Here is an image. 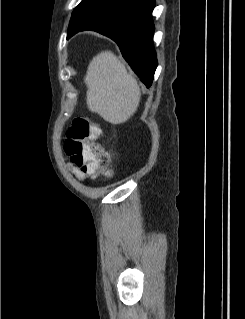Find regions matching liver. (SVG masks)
I'll return each instance as SVG.
<instances>
[{
    "label": "liver",
    "mask_w": 245,
    "mask_h": 319,
    "mask_svg": "<svg viewBox=\"0 0 245 319\" xmlns=\"http://www.w3.org/2000/svg\"><path fill=\"white\" fill-rule=\"evenodd\" d=\"M84 82L88 109L105 121L122 124L136 112L141 98L139 85L111 51L93 57Z\"/></svg>",
    "instance_id": "liver-1"
}]
</instances>
